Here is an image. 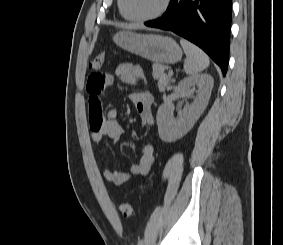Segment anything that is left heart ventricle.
Segmentation results:
<instances>
[{"label":"left heart ventricle","instance_id":"1","mask_svg":"<svg viewBox=\"0 0 283 245\" xmlns=\"http://www.w3.org/2000/svg\"><path fill=\"white\" fill-rule=\"evenodd\" d=\"M126 10L130 16L146 17L154 14L162 5L163 0H125Z\"/></svg>","mask_w":283,"mask_h":245}]
</instances>
